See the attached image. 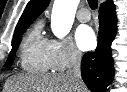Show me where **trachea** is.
<instances>
[{
	"label": "trachea",
	"instance_id": "1",
	"mask_svg": "<svg viewBox=\"0 0 127 92\" xmlns=\"http://www.w3.org/2000/svg\"><path fill=\"white\" fill-rule=\"evenodd\" d=\"M88 4L92 10L98 7V0H88Z\"/></svg>",
	"mask_w": 127,
	"mask_h": 92
}]
</instances>
